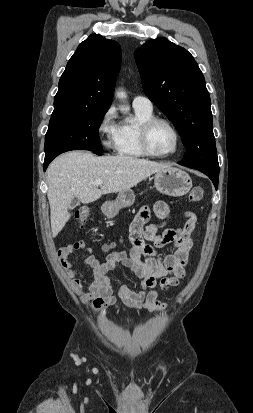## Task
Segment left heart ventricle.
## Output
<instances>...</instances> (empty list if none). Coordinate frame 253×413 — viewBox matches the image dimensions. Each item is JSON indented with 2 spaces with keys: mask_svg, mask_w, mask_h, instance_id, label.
<instances>
[{
  "mask_svg": "<svg viewBox=\"0 0 253 413\" xmlns=\"http://www.w3.org/2000/svg\"><path fill=\"white\" fill-rule=\"evenodd\" d=\"M150 145L156 153H169L175 146L174 133L166 124L157 123L150 131Z\"/></svg>",
  "mask_w": 253,
  "mask_h": 413,
  "instance_id": "b2bd125f",
  "label": "left heart ventricle"
}]
</instances>
